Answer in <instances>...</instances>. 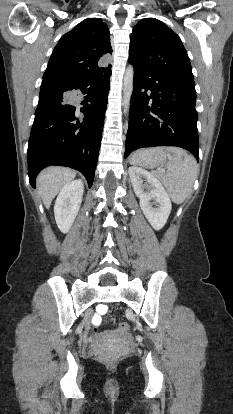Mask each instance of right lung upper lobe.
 <instances>
[{
  "label": "right lung upper lobe",
  "mask_w": 233,
  "mask_h": 414,
  "mask_svg": "<svg viewBox=\"0 0 233 414\" xmlns=\"http://www.w3.org/2000/svg\"><path fill=\"white\" fill-rule=\"evenodd\" d=\"M109 29L100 18H87L61 37L43 79L74 80L110 70Z\"/></svg>",
  "instance_id": "right-lung-upper-lobe-1"
}]
</instances>
